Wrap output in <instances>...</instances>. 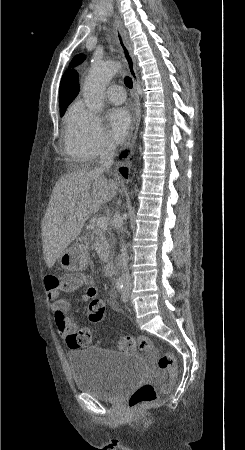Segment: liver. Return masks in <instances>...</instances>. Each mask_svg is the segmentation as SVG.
Segmentation results:
<instances>
[{
  "instance_id": "6515ba94",
  "label": "liver",
  "mask_w": 245,
  "mask_h": 450,
  "mask_svg": "<svg viewBox=\"0 0 245 450\" xmlns=\"http://www.w3.org/2000/svg\"><path fill=\"white\" fill-rule=\"evenodd\" d=\"M102 173L100 168L76 169L56 182L41 226L49 268L77 239L90 216L113 198L117 184Z\"/></svg>"
}]
</instances>
